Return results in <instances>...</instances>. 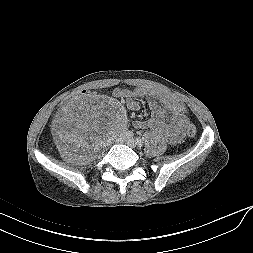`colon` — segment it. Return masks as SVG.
<instances>
[{"label": "colon", "instance_id": "5ec220e1", "mask_svg": "<svg viewBox=\"0 0 253 253\" xmlns=\"http://www.w3.org/2000/svg\"><path fill=\"white\" fill-rule=\"evenodd\" d=\"M94 92L91 89H82L80 91L75 92L74 94L70 95L61 105L60 110L66 111L70 108L77 100H80L84 97H92ZM197 130L193 124H187L186 126V133L188 136H194Z\"/></svg>", "mask_w": 253, "mask_h": 253}]
</instances>
